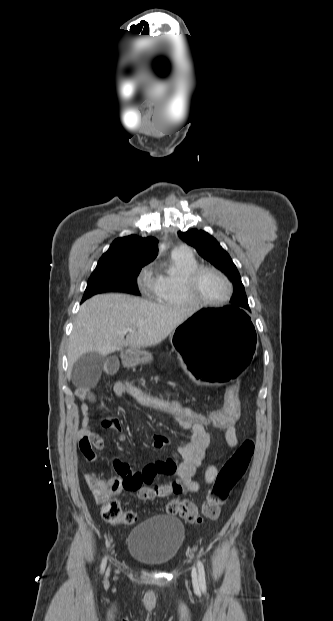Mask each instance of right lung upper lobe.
<instances>
[{
    "mask_svg": "<svg viewBox=\"0 0 333 621\" xmlns=\"http://www.w3.org/2000/svg\"><path fill=\"white\" fill-rule=\"evenodd\" d=\"M157 242L158 240L151 236L142 238L137 235H130L117 238L98 263L137 262L148 264L157 256Z\"/></svg>",
    "mask_w": 333,
    "mask_h": 621,
    "instance_id": "1",
    "label": "right lung upper lobe"
}]
</instances>
